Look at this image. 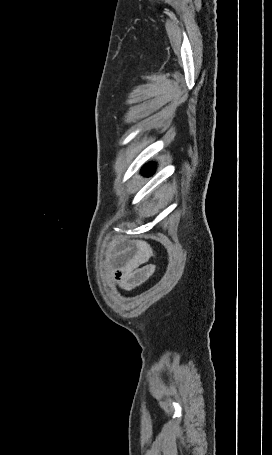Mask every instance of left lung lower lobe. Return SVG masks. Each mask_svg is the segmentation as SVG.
<instances>
[{
  "label": "left lung lower lobe",
  "mask_w": 272,
  "mask_h": 455,
  "mask_svg": "<svg viewBox=\"0 0 272 455\" xmlns=\"http://www.w3.org/2000/svg\"><path fill=\"white\" fill-rule=\"evenodd\" d=\"M152 172H153V166H152V164L147 165V166L143 169V173H144V174H152Z\"/></svg>",
  "instance_id": "1"
}]
</instances>
